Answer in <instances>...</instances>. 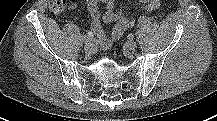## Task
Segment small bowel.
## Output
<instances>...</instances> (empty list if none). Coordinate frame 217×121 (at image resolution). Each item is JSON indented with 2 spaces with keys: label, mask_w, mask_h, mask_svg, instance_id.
<instances>
[{
  "label": "small bowel",
  "mask_w": 217,
  "mask_h": 121,
  "mask_svg": "<svg viewBox=\"0 0 217 121\" xmlns=\"http://www.w3.org/2000/svg\"><path fill=\"white\" fill-rule=\"evenodd\" d=\"M146 12H152L160 7L161 0H136ZM88 11L92 17V30L98 39L99 45L106 49L117 41L125 32L134 26L135 20L116 9V0H86ZM104 6L101 12L100 6ZM114 23L109 34L103 29V24Z\"/></svg>",
  "instance_id": "small-bowel-1"
}]
</instances>
